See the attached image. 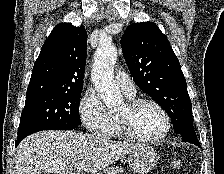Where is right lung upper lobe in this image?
<instances>
[{
    "label": "right lung upper lobe",
    "instance_id": "1",
    "mask_svg": "<svg viewBox=\"0 0 224 174\" xmlns=\"http://www.w3.org/2000/svg\"><path fill=\"white\" fill-rule=\"evenodd\" d=\"M87 33L71 23L55 26L34 64L27 95L83 88Z\"/></svg>",
    "mask_w": 224,
    "mask_h": 174
}]
</instances>
